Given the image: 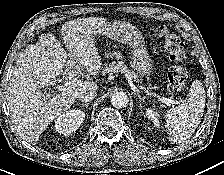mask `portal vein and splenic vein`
I'll use <instances>...</instances> for the list:
<instances>
[{
    "mask_svg": "<svg viewBox=\"0 0 224 175\" xmlns=\"http://www.w3.org/2000/svg\"><path fill=\"white\" fill-rule=\"evenodd\" d=\"M82 81H80L79 79L75 78L69 82H66L65 84H63L61 87H67V86H76L78 84H80ZM150 96H153L155 98H157L158 100H160L161 102L165 103L167 106H171L173 104H179V101H175V100H171V99H168V98H165L163 96H160L156 93H153V92H150L149 93Z\"/></svg>",
    "mask_w": 224,
    "mask_h": 175,
    "instance_id": "1",
    "label": "portal vein and splenic vein"
}]
</instances>
